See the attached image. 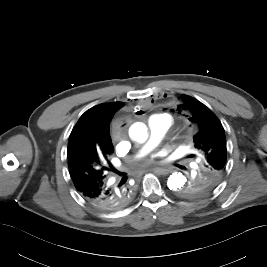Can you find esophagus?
<instances>
[{
  "label": "esophagus",
  "instance_id": "34e87169",
  "mask_svg": "<svg viewBox=\"0 0 267 267\" xmlns=\"http://www.w3.org/2000/svg\"><path fill=\"white\" fill-rule=\"evenodd\" d=\"M153 172L159 174V175H165L170 172L169 168H163V167H155L152 169Z\"/></svg>",
  "mask_w": 267,
  "mask_h": 267
}]
</instances>
